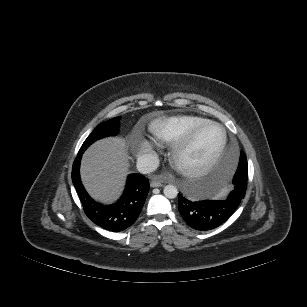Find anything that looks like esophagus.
<instances>
[{
    "label": "esophagus",
    "instance_id": "1",
    "mask_svg": "<svg viewBox=\"0 0 307 307\" xmlns=\"http://www.w3.org/2000/svg\"><path fill=\"white\" fill-rule=\"evenodd\" d=\"M163 184H162V182H160V181H158V180H152L151 182H150V186L151 187H161Z\"/></svg>",
    "mask_w": 307,
    "mask_h": 307
}]
</instances>
